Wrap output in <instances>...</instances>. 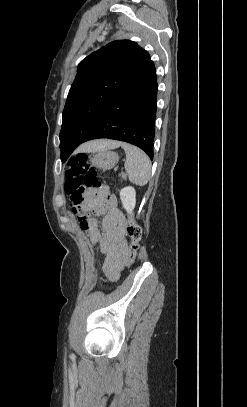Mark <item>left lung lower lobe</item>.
I'll list each match as a JSON object with an SVG mask.
<instances>
[{"mask_svg":"<svg viewBox=\"0 0 247 407\" xmlns=\"http://www.w3.org/2000/svg\"><path fill=\"white\" fill-rule=\"evenodd\" d=\"M157 104L153 61L108 105L83 142L109 138L136 145L152 160Z\"/></svg>","mask_w":247,"mask_h":407,"instance_id":"obj_1","label":"left lung lower lobe"}]
</instances>
